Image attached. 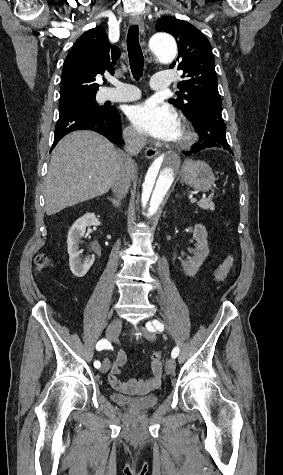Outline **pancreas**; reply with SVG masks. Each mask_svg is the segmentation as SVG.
Wrapping results in <instances>:
<instances>
[{"mask_svg": "<svg viewBox=\"0 0 283 475\" xmlns=\"http://www.w3.org/2000/svg\"><path fill=\"white\" fill-rule=\"evenodd\" d=\"M199 208H203V210H215V206L211 200V198H203L200 202H197Z\"/></svg>", "mask_w": 283, "mask_h": 475, "instance_id": "obj_1", "label": "pancreas"}]
</instances>
